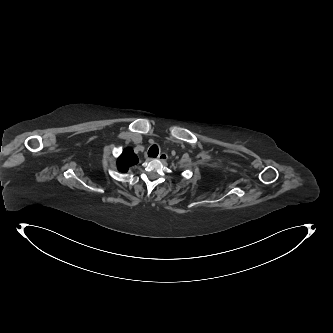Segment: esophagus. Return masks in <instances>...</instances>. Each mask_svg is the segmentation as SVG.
I'll return each mask as SVG.
<instances>
[{"instance_id": "esophagus-1", "label": "esophagus", "mask_w": 333, "mask_h": 333, "mask_svg": "<svg viewBox=\"0 0 333 333\" xmlns=\"http://www.w3.org/2000/svg\"><path fill=\"white\" fill-rule=\"evenodd\" d=\"M167 157H168L167 154L165 152H162V153L159 154L158 159L160 161H166Z\"/></svg>"}]
</instances>
